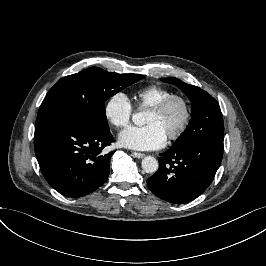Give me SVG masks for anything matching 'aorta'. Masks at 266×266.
<instances>
[{
	"label": "aorta",
	"instance_id": "762f6f07",
	"mask_svg": "<svg viewBox=\"0 0 266 266\" xmlns=\"http://www.w3.org/2000/svg\"><path fill=\"white\" fill-rule=\"evenodd\" d=\"M132 122L137 127H142L146 124V112L144 110L134 112L131 115ZM159 163L152 156H147L142 160V169L148 174H154L158 171Z\"/></svg>",
	"mask_w": 266,
	"mask_h": 266
}]
</instances>
